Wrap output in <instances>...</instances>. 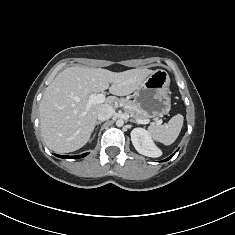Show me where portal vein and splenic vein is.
Here are the masks:
<instances>
[{
  "label": "portal vein and splenic vein",
  "instance_id": "1",
  "mask_svg": "<svg viewBox=\"0 0 235 235\" xmlns=\"http://www.w3.org/2000/svg\"><path fill=\"white\" fill-rule=\"evenodd\" d=\"M105 101V96L103 94H91L86 106V110H89L92 104H99L103 103ZM138 123L140 124H148L149 120H137Z\"/></svg>",
  "mask_w": 235,
  "mask_h": 235
}]
</instances>
